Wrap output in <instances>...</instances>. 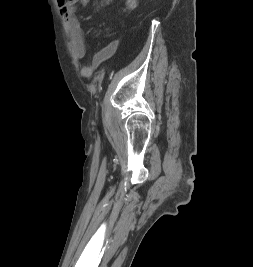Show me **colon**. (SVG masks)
I'll use <instances>...</instances> for the list:
<instances>
[{
  "label": "colon",
  "instance_id": "5ec220e1",
  "mask_svg": "<svg viewBox=\"0 0 253 267\" xmlns=\"http://www.w3.org/2000/svg\"><path fill=\"white\" fill-rule=\"evenodd\" d=\"M78 0H58L60 7H71L76 4ZM128 9H133L136 5V0H126Z\"/></svg>",
  "mask_w": 253,
  "mask_h": 267
}]
</instances>
